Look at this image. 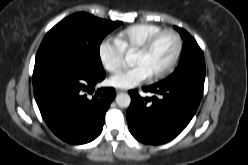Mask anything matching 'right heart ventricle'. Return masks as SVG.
Masks as SVG:
<instances>
[{"label": "right heart ventricle", "mask_w": 248, "mask_h": 165, "mask_svg": "<svg viewBox=\"0 0 248 165\" xmlns=\"http://www.w3.org/2000/svg\"><path fill=\"white\" fill-rule=\"evenodd\" d=\"M164 30L159 25L151 23H140L129 26L120 30L115 40L123 49L124 52L137 50L143 45L151 36Z\"/></svg>", "instance_id": "e07e8e85"}]
</instances>
